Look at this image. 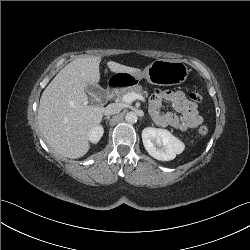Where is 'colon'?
I'll list each match as a JSON object with an SVG mask.
<instances>
[{
  "instance_id": "5ec220e1",
  "label": "colon",
  "mask_w": 250,
  "mask_h": 250,
  "mask_svg": "<svg viewBox=\"0 0 250 250\" xmlns=\"http://www.w3.org/2000/svg\"><path fill=\"white\" fill-rule=\"evenodd\" d=\"M189 97L195 103H200L203 99L202 93L199 90L191 91ZM207 133H208V128L206 126H201L198 129L197 137L205 136Z\"/></svg>"
}]
</instances>
